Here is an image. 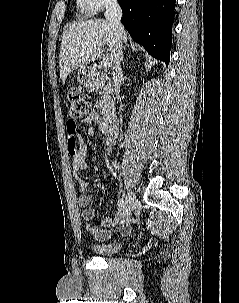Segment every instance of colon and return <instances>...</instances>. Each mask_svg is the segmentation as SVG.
<instances>
[{
    "mask_svg": "<svg viewBox=\"0 0 239 303\" xmlns=\"http://www.w3.org/2000/svg\"><path fill=\"white\" fill-rule=\"evenodd\" d=\"M68 112L70 120L67 122V127L70 131L75 129V121L81 117L87 116L91 112L89 101L77 89H72L68 92Z\"/></svg>",
    "mask_w": 239,
    "mask_h": 303,
    "instance_id": "colon-1",
    "label": "colon"
}]
</instances>
